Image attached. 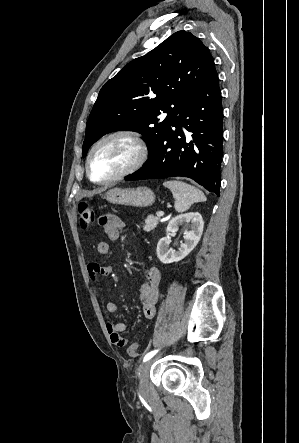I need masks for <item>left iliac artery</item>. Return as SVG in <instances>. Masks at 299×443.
I'll use <instances>...</instances> for the list:
<instances>
[{
	"mask_svg": "<svg viewBox=\"0 0 299 443\" xmlns=\"http://www.w3.org/2000/svg\"><path fill=\"white\" fill-rule=\"evenodd\" d=\"M157 352H158V350H153V351H150L149 353H147L143 358V362L150 360Z\"/></svg>",
	"mask_w": 299,
	"mask_h": 443,
	"instance_id": "44dca946",
	"label": "left iliac artery"
}]
</instances>
